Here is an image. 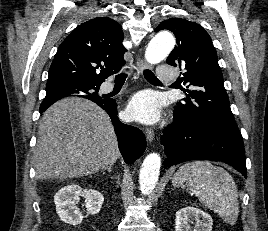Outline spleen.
Segmentation results:
<instances>
[{"label":"spleen","mask_w":268,"mask_h":231,"mask_svg":"<svg viewBox=\"0 0 268 231\" xmlns=\"http://www.w3.org/2000/svg\"><path fill=\"white\" fill-rule=\"evenodd\" d=\"M172 183L175 187L186 183L205 207L228 224H235L239 213L238 192L232 176L224 168L208 161L188 162L180 166Z\"/></svg>","instance_id":"spleen-1"}]
</instances>
